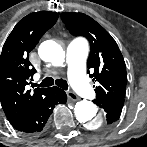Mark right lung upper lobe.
Wrapping results in <instances>:
<instances>
[{"mask_svg":"<svg viewBox=\"0 0 147 147\" xmlns=\"http://www.w3.org/2000/svg\"><path fill=\"white\" fill-rule=\"evenodd\" d=\"M58 13H31L17 23L8 36L0 55V101L4 113L12 122L24 116L47 93L48 89L27 90L36 69L29 61V53L43 34L57 21Z\"/></svg>","mask_w":147,"mask_h":147,"instance_id":"right-lung-upper-lobe-1","label":"right lung upper lobe"}]
</instances>
